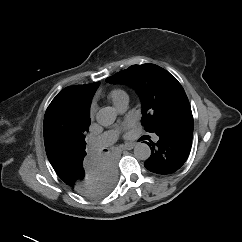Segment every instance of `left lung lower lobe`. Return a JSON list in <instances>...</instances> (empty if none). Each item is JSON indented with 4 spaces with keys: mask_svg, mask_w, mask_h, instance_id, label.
Here are the masks:
<instances>
[{
    "mask_svg": "<svg viewBox=\"0 0 242 242\" xmlns=\"http://www.w3.org/2000/svg\"><path fill=\"white\" fill-rule=\"evenodd\" d=\"M192 112L184 113L162 125L155 133L157 143H148L151 156L145 167L156 174L166 175L177 171L186 161L191 150L193 136Z\"/></svg>",
    "mask_w": 242,
    "mask_h": 242,
    "instance_id": "0a47b994",
    "label": "left lung lower lobe"
}]
</instances>
